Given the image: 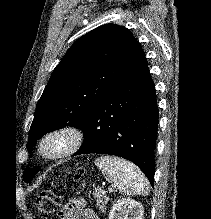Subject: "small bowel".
Masks as SVG:
<instances>
[{"mask_svg": "<svg viewBox=\"0 0 211 219\" xmlns=\"http://www.w3.org/2000/svg\"><path fill=\"white\" fill-rule=\"evenodd\" d=\"M57 219H98L81 200L70 201L59 213Z\"/></svg>", "mask_w": 211, "mask_h": 219, "instance_id": "1", "label": "small bowel"}]
</instances>
